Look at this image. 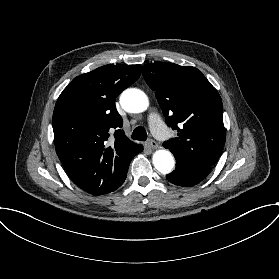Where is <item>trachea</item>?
<instances>
[{"label":"trachea","mask_w":279,"mask_h":279,"mask_svg":"<svg viewBox=\"0 0 279 279\" xmlns=\"http://www.w3.org/2000/svg\"><path fill=\"white\" fill-rule=\"evenodd\" d=\"M132 139L134 140H140V141H146L147 139V133L145 131L144 128L142 127H137L136 129H134L132 135H131Z\"/></svg>","instance_id":"trachea-1"}]
</instances>
